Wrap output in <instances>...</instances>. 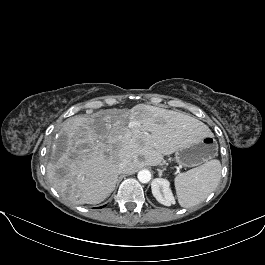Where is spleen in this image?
<instances>
[{"instance_id":"spleen-1","label":"spleen","mask_w":265,"mask_h":265,"mask_svg":"<svg viewBox=\"0 0 265 265\" xmlns=\"http://www.w3.org/2000/svg\"><path fill=\"white\" fill-rule=\"evenodd\" d=\"M221 177V164L217 159L180 173L174 184L181 207L189 208L205 200L217 187Z\"/></svg>"}]
</instances>
